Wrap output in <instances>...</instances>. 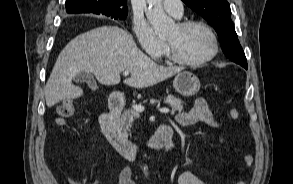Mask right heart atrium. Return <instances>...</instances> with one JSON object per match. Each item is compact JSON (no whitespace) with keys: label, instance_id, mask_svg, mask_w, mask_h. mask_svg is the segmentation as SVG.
Returning <instances> with one entry per match:
<instances>
[{"label":"right heart atrium","instance_id":"right-heart-atrium-1","mask_svg":"<svg viewBox=\"0 0 293 184\" xmlns=\"http://www.w3.org/2000/svg\"><path fill=\"white\" fill-rule=\"evenodd\" d=\"M133 31L139 46L150 57L157 59L165 52V42L155 34L146 21L135 20L133 22Z\"/></svg>","mask_w":293,"mask_h":184}]
</instances>
